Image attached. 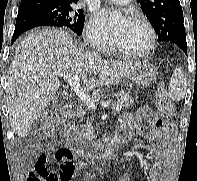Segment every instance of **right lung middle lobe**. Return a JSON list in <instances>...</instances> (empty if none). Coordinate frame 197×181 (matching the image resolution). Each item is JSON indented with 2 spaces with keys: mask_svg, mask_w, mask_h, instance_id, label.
<instances>
[{
  "mask_svg": "<svg viewBox=\"0 0 197 181\" xmlns=\"http://www.w3.org/2000/svg\"><path fill=\"white\" fill-rule=\"evenodd\" d=\"M30 9L42 12L59 22L60 27H68L77 35L82 33L85 16L83 10H74L72 6L37 4Z\"/></svg>",
  "mask_w": 197,
  "mask_h": 181,
  "instance_id": "1",
  "label": "right lung middle lobe"
}]
</instances>
